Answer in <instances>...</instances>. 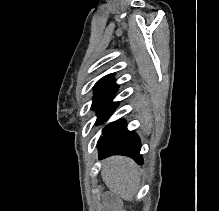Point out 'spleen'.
I'll return each instance as SVG.
<instances>
[{"instance_id": "spleen-1", "label": "spleen", "mask_w": 219, "mask_h": 211, "mask_svg": "<svg viewBox=\"0 0 219 211\" xmlns=\"http://www.w3.org/2000/svg\"><path fill=\"white\" fill-rule=\"evenodd\" d=\"M101 175L110 191L132 201L140 185V171L130 157H109L102 163Z\"/></svg>"}]
</instances>
